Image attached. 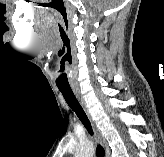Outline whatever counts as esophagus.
<instances>
[{
  "instance_id": "34e87169",
  "label": "esophagus",
  "mask_w": 164,
  "mask_h": 157,
  "mask_svg": "<svg viewBox=\"0 0 164 157\" xmlns=\"http://www.w3.org/2000/svg\"><path fill=\"white\" fill-rule=\"evenodd\" d=\"M74 93L76 95V97L78 98V100L80 101L81 106L83 107V109L85 110V112L87 113L88 117L91 119L90 114L88 112L87 106L80 94V91L78 90H74ZM93 128H94V132L97 135L98 139L100 140V142L102 143V145L105 148V157H109L110 153H109V148L107 146V143L104 139V137L101 135L100 131L98 130V128L95 126V124L92 122Z\"/></svg>"
}]
</instances>
